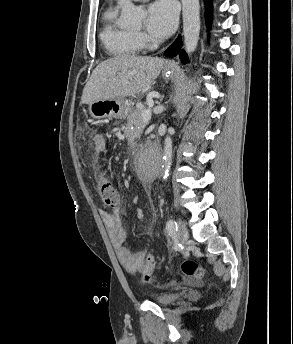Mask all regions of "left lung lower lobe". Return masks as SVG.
I'll list each match as a JSON object with an SVG mask.
<instances>
[{"mask_svg": "<svg viewBox=\"0 0 293 344\" xmlns=\"http://www.w3.org/2000/svg\"><path fill=\"white\" fill-rule=\"evenodd\" d=\"M210 0H207L209 2ZM206 19L208 23H210V13L209 11L206 12ZM181 37L178 36V38L175 40V42L165 51V55L168 57H174L179 54L180 59L183 63L188 62V56L187 54L183 51L180 50L181 48Z\"/></svg>", "mask_w": 293, "mask_h": 344, "instance_id": "1", "label": "left lung lower lobe"}]
</instances>
